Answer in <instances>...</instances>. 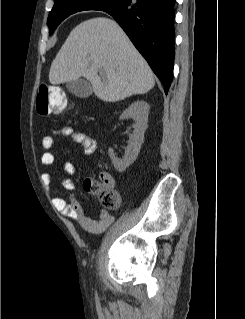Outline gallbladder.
<instances>
[{
  "label": "gallbladder",
  "instance_id": "bac80fb5",
  "mask_svg": "<svg viewBox=\"0 0 245 319\" xmlns=\"http://www.w3.org/2000/svg\"><path fill=\"white\" fill-rule=\"evenodd\" d=\"M66 88L70 93L79 98H87L92 95L93 92L90 83L84 79L67 82Z\"/></svg>",
  "mask_w": 245,
  "mask_h": 319
}]
</instances>
